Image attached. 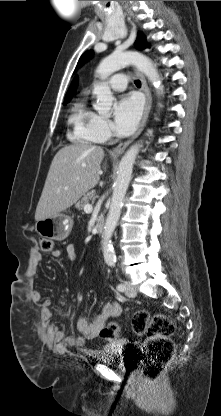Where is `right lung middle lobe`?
Instances as JSON below:
<instances>
[{"instance_id":"obj_1","label":"right lung middle lobe","mask_w":221,"mask_h":416,"mask_svg":"<svg viewBox=\"0 0 221 416\" xmlns=\"http://www.w3.org/2000/svg\"><path fill=\"white\" fill-rule=\"evenodd\" d=\"M67 102H68V101H67V100H65V101H64V105H65Z\"/></svg>"}]
</instances>
